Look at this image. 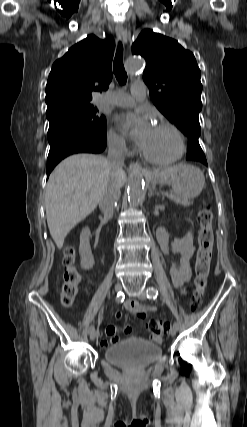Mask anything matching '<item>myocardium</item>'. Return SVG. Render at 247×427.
<instances>
[{"label":"myocardium","mask_w":247,"mask_h":427,"mask_svg":"<svg viewBox=\"0 0 247 427\" xmlns=\"http://www.w3.org/2000/svg\"><path fill=\"white\" fill-rule=\"evenodd\" d=\"M156 127L166 128L173 133V135L175 136V138L177 140V150L170 157L157 158V157H153V156L149 155L148 153H146L142 149L141 150L142 157L145 160H147L148 162L156 164V165H168V164H172V163L178 161L183 156L184 151H185V139H184L182 132L174 124L167 122V121H161L160 123H158L156 125Z\"/></svg>","instance_id":"obj_1"}]
</instances>
